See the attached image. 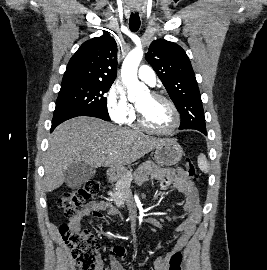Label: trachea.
Listing matches in <instances>:
<instances>
[{"instance_id": "obj_1", "label": "trachea", "mask_w": 267, "mask_h": 270, "mask_svg": "<svg viewBox=\"0 0 267 270\" xmlns=\"http://www.w3.org/2000/svg\"><path fill=\"white\" fill-rule=\"evenodd\" d=\"M129 28L132 32H136L140 28V17L138 13H132L130 15Z\"/></svg>"}]
</instances>
